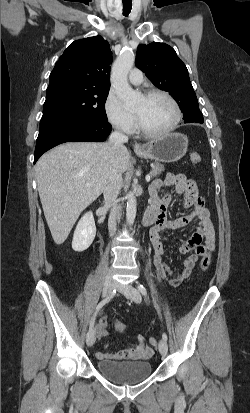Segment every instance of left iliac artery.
Here are the masks:
<instances>
[{
    "label": "left iliac artery",
    "mask_w": 250,
    "mask_h": 413,
    "mask_svg": "<svg viewBox=\"0 0 250 413\" xmlns=\"http://www.w3.org/2000/svg\"><path fill=\"white\" fill-rule=\"evenodd\" d=\"M138 290L141 292L142 295L146 296L147 295V290L142 284H138ZM162 338L167 341V335L166 333L162 334Z\"/></svg>",
    "instance_id": "44dca946"
}]
</instances>
